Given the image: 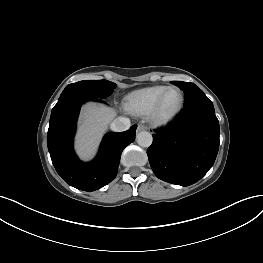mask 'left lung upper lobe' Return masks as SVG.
Masks as SVG:
<instances>
[{
	"label": "left lung upper lobe",
	"mask_w": 263,
	"mask_h": 263,
	"mask_svg": "<svg viewBox=\"0 0 263 263\" xmlns=\"http://www.w3.org/2000/svg\"><path fill=\"white\" fill-rule=\"evenodd\" d=\"M172 84L178 86L185 94V105H188L196 100L206 98V95L195 84L190 82L172 81Z\"/></svg>",
	"instance_id": "obj_1"
}]
</instances>
